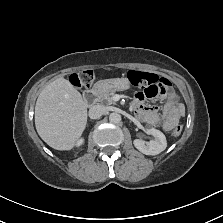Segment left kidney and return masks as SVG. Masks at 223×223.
I'll return each mask as SVG.
<instances>
[{
  "instance_id": "1",
  "label": "left kidney",
  "mask_w": 223,
  "mask_h": 223,
  "mask_svg": "<svg viewBox=\"0 0 223 223\" xmlns=\"http://www.w3.org/2000/svg\"><path fill=\"white\" fill-rule=\"evenodd\" d=\"M147 134L153 137V140L145 142L141 139L134 141L135 147L146 155H157L167 147V141L162 132L155 128L146 129Z\"/></svg>"
}]
</instances>
